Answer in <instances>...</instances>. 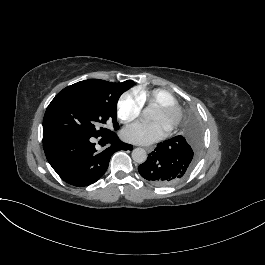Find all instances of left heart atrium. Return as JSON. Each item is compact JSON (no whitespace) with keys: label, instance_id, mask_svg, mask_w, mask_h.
Instances as JSON below:
<instances>
[{"label":"left heart atrium","instance_id":"39dd6f15","mask_svg":"<svg viewBox=\"0 0 265 265\" xmlns=\"http://www.w3.org/2000/svg\"><path fill=\"white\" fill-rule=\"evenodd\" d=\"M167 136L168 130L161 122L152 124L135 123L127 126L122 132L125 141L140 145L151 144Z\"/></svg>","mask_w":265,"mask_h":265}]
</instances>
